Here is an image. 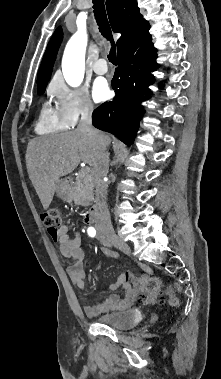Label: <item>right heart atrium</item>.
Returning <instances> with one entry per match:
<instances>
[{
  "mask_svg": "<svg viewBox=\"0 0 221 379\" xmlns=\"http://www.w3.org/2000/svg\"><path fill=\"white\" fill-rule=\"evenodd\" d=\"M55 99L56 109L69 126H74L81 118L91 116L95 106L88 91L83 87L72 88L62 82H54L49 88Z\"/></svg>",
  "mask_w": 221,
  "mask_h": 379,
  "instance_id": "right-heart-atrium-1",
  "label": "right heart atrium"
}]
</instances>
